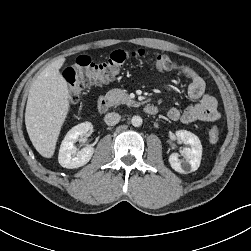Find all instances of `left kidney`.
Here are the masks:
<instances>
[{"label":"left kidney","instance_id":"obj_1","mask_svg":"<svg viewBox=\"0 0 251 251\" xmlns=\"http://www.w3.org/2000/svg\"><path fill=\"white\" fill-rule=\"evenodd\" d=\"M176 136L189 147L183 148L181 155L185 160L179 159V154L172 153L169 156L171 167L178 173L188 174L198 169L202 156V145L200 139L193 133L186 130H179Z\"/></svg>","mask_w":251,"mask_h":251}]
</instances>
